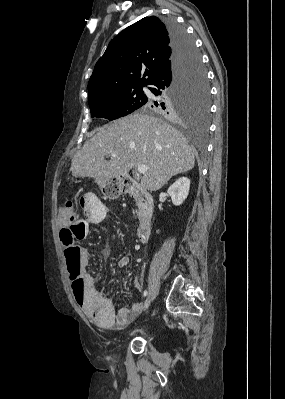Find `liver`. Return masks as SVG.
<instances>
[{
	"label": "liver",
	"instance_id": "6515ba94",
	"mask_svg": "<svg viewBox=\"0 0 285 399\" xmlns=\"http://www.w3.org/2000/svg\"><path fill=\"white\" fill-rule=\"evenodd\" d=\"M115 153L109 161L105 157ZM196 150L182 133L151 115L133 113L104 125L74 155L73 176L98 179L126 177L132 168L148 166L141 186L162 188L171 177L193 169Z\"/></svg>",
	"mask_w": 285,
	"mask_h": 399
}]
</instances>
